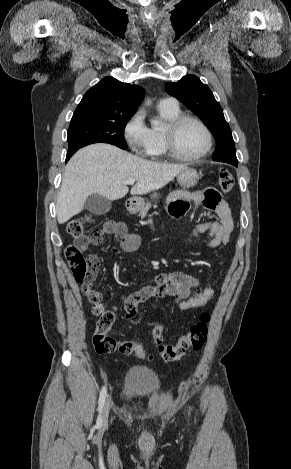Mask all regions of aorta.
<instances>
[{
	"label": "aorta",
	"instance_id": "762f6f07",
	"mask_svg": "<svg viewBox=\"0 0 291 469\" xmlns=\"http://www.w3.org/2000/svg\"><path fill=\"white\" fill-rule=\"evenodd\" d=\"M158 125H160V122H159V121L153 122V126H158Z\"/></svg>",
	"mask_w": 291,
	"mask_h": 469
}]
</instances>
